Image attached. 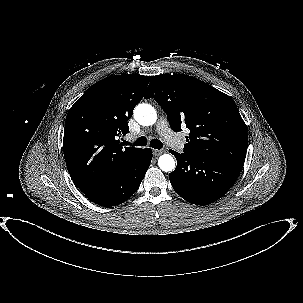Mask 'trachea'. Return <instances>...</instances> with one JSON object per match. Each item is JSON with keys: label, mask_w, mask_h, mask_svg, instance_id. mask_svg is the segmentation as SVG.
<instances>
[{"label": "trachea", "mask_w": 303, "mask_h": 303, "mask_svg": "<svg viewBox=\"0 0 303 303\" xmlns=\"http://www.w3.org/2000/svg\"><path fill=\"white\" fill-rule=\"evenodd\" d=\"M134 144L136 146H146L147 145V138L144 137V136H141L139 137L135 142ZM150 146L152 148H155V149H161L163 147V144L160 140L158 139H152L151 142H150Z\"/></svg>", "instance_id": "trachea-1"}]
</instances>
